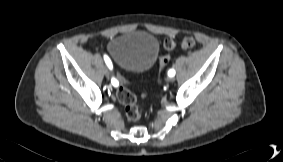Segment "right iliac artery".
<instances>
[{"mask_svg":"<svg viewBox=\"0 0 283 162\" xmlns=\"http://www.w3.org/2000/svg\"><path fill=\"white\" fill-rule=\"evenodd\" d=\"M104 60L107 64V66L109 67V69L111 70L112 69V63H111V60L109 59V57L107 55H104ZM111 82L114 86H116L118 84L117 80H115L114 78H112Z\"/></svg>","mask_w":283,"mask_h":162,"instance_id":"right-iliac-artery-1","label":"right iliac artery"}]
</instances>
